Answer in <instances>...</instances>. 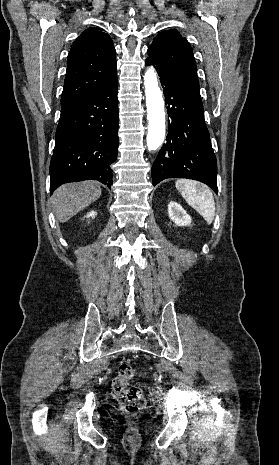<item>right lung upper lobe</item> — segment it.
Returning <instances> with one entry per match:
<instances>
[{
  "label": "right lung upper lobe",
  "mask_w": 279,
  "mask_h": 465,
  "mask_svg": "<svg viewBox=\"0 0 279 465\" xmlns=\"http://www.w3.org/2000/svg\"><path fill=\"white\" fill-rule=\"evenodd\" d=\"M115 48L98 28L85 30L73 43L61 97V114L87 100L116 76Z\"/></svg>",
  "instance_id": "obj_1"
}]
</instances>
